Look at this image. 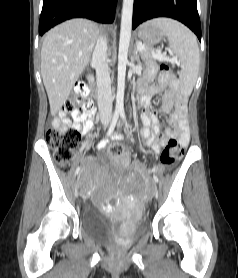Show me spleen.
<instances>
[{"mask_svg":"<svg viewBox=\"0 0 238 278\" xmlns=\"http://www.w3.org/2000/svg\"><path fill=\"white\" fill-rule=\"evenodd\" d=\"M151 25L160 28L169 41L170 51L180 61L179 79L182 91L190 95L196 83L200 56L196 36L185 25L169 18H157L149 21Z\"/></svg>","mask_w":238,"mask_h":278,"instance_id":"1","label":"spleen"}]
</instances>
